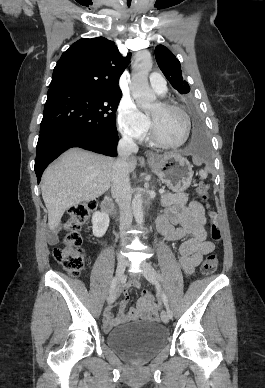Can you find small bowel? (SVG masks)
Instances as JSON below:
<instances>
[{
    "mask_svg": "<svg viewBox=\"0 0 265 388\" xmlns=\"http://www.w3.org/2000/svg\"><path fill=\"white\" fill-rule=\"evenodd\" d=\"M158 220L161 222L159 229L167 241H182L178 249L179 264L186 275H191L201 263L203 256L215 249V245L207 240L204 207L198 201H191L185 206L168 208ZM58 231V226L53 227L49 235L52 242L56 240ZM138 287H140V282L132 280L118 289V294L123 296L119 304L120 310L114 316L112 313L113 305L105 309L103 320L106 330L126 321L138 318L152 320L156 317V306L148 304L143 299L139 301L137 310L129 314L125 313L129 301V289Z\"/></svg>",
    "mask_w": 265,
    "mask_h": 388,
    "instance_id": "small-bowel-1",
    "label": "small bowel"
}]
</instances>
